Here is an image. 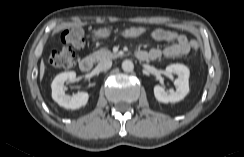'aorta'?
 <instances>
[{"label":"aorta","mask_w":244,"mask_h":157,"mask_svg":"<svg viewBox=\"0 0 244 157\" xmlns=\"http://www.w3.org/2000/svg\"><path fill=\"white\" fill-rule=\"evenodd\" d=\"M122 69L125 72H132L134 69V64L131 60H124L122 62Z\"/></svg>","instance_id":"aorta-1"}]
</instances>
